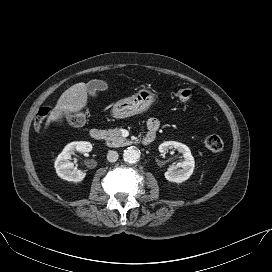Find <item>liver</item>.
<instances>
[{
  "mask_svg": "<svg viewBox=\"0 0 272 272\" xmlns=\"http://www.w3.org/2000/svg\"><path fill=\"white\" fill-rule=\"evenodd\" d=\"M87 84L80 82L74 84L62 93L57 101L56 106L50 112L46 123L45 129L49 127L51 122H56L65 117H71L72 113H76L87 105Z\"/></svg>",
  "mask_w": 272,
  "mask_h": 272,
  "instance_id": "6515ba94",
  "label": "liver"
}]
</instances>
